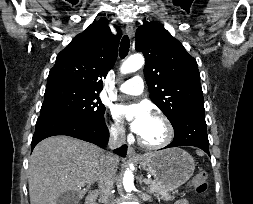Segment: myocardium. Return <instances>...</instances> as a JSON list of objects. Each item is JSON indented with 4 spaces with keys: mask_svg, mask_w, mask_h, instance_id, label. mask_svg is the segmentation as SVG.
<instances>
[{
    "mask_svg": "<svg viewBox=\"0 0 253 204\" xmlns=\"http://www.w3.org/2000/svg\"><path fill=\"white\" fill-rule=\"evenodd\" d=\"M152 117L160 120L164 124V126L166 128L165 138L159 143L151 144V143L144 141L138 135L137 141H138L139 145L145 149L158 150V149L165 148L166 146H168L172 142V140L174 138V134H175L174 127H173L172 123L170 122V120L165 115H163L161 113H153Z\"/></svg>",
    "mask_w": 253,
    "mask_h": 204,
    "instance_id": "f54148a6",
    "label": "myocardium"
}]
</instances>
